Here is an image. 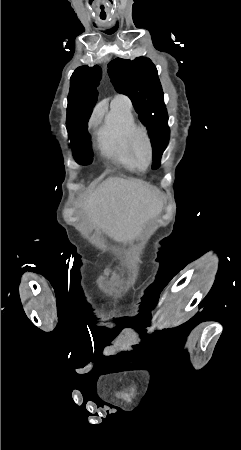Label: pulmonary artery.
Wrapping results in <instances>:
<instances>
[{
  "instance_id": "1",
  "label": "pulmonary artery",
  "mask_w": 241,
  "mask_h": 450,
  "mask_svg": "<svg viewBox=\"0 0 241 450\" xmlns=\"http://www.w3.org/2000/svg\"><path fill=\"white\" fill-rule=\"evenodd\" d=\"M118 99H120V100H123V101H126V102H127V99H126L125 97H119Z\"/></svg>"
}]
</instances>
